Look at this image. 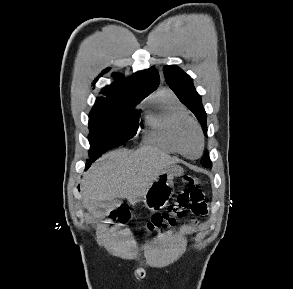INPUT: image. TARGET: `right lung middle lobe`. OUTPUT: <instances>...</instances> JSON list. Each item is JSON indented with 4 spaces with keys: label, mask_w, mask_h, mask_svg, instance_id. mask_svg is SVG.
Returning a JSON list of instances; mask_svg holds the SVG:
<instances>
[{
    "label": "right lung middle lobe",
    "mask_w": 293,
    "mask_h": 289,
    "mask_svg": "<svg viewBox=\"0 0 293 289\" xmlns=\"http://www.w3.org/2000/svg\"><path fill=\"white\" fill-rule=\"evenodd\" d=\"M138 100L94 106L89 116L91 162L102 153L121 146L136 135L140 111L133 113L131 110Z\"/></svg>",
    "instance_id": "1"
}]
</instances>
